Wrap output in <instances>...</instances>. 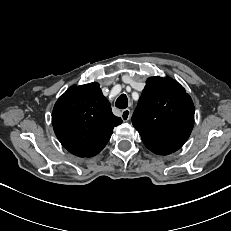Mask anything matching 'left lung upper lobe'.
I'll list each match as a JSON object with an SVG mask.
<instances>
[{"mask_svg": "<svg viewBox=\"0 0 231 231\" xmlns=\"http://www.w3.org/2000/svg\"><path fill=\"white\" fill-rule=\"evenodd\" d=\"M132 123L146 147L175 152L183 146L193 129L192 99L177 81L169 77H150Z\"/></svg>", "mask_w": 231, "mask_h": 231, "instance_id": "1", "label": "left lung upper lobe"}]
</instances>
